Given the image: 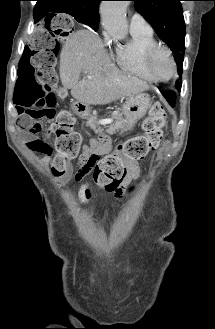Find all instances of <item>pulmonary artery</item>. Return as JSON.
I'll return each mask as SVG.
<instances>
[{"mask_svg": "<svg viewBox=\"0 0 215 329\" xmlns=\"http://www.w3.org/2000/svg\"><path fill=\"white\" fill-rule=\"evenodd\" d=\"M130 32L152 33L153 29L141 14L134 13L130 18Z\"/></svg>", "mask_w": 215, "mask_h": 329, "instance_id": "pulmonary-artery-1", "label": "pulmonary artery"}]
</instances>
